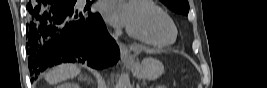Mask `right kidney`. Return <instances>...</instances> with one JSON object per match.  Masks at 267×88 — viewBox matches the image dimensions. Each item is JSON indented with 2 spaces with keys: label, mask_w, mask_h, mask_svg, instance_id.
<instances>
[{
  "label": "right kidney",
  "mask_w": 267,
  "mask_h": 88,
  "mask_svg": "<svg viewBox=\"0 0 267 88\" xmlns=\"http://www.w3.org/2000/svg\"><path fill=\"white\" fill-rule=\"evenodd\" d=\"M57 88H80V86L74 82H65L58 85Z\"/></svg>",
  "instance_id": "1"
}]
</instances>
